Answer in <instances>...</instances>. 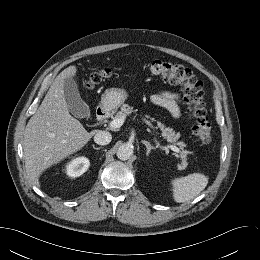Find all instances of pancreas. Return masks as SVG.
Masks as SVG:
<instances>
[{"label":"pancreas","mask_w":260,"mask_h":260,"mask_svg":"<svg viewBox=\"0 0 260 260\" xmlns=\"http://www.w3.org/2000/svg\"><path fill=\"white\" fill-rule=\"evenodd\" d=\"M133 108L130 107L128 104H122L120 106V111L117 112L116 117H122L124 116L125 118L129 116L133 112ZM146 118H150V116L146 115ZM152 121H154L153 118H150ZM158 128L162 131L161 135L168 141L174 144H177L181 149L185 147V144L183 142H177L178 138L180 137V134L176 133L172 128L166 127L163 123L157 122ZM186 155L187 151L182 150L180 157L182 159V163L180 165L181 169H185L187 166V161H186Z\"/></svg>","instance_id":"obj_1"}]
</instances>
